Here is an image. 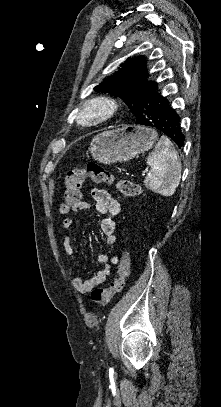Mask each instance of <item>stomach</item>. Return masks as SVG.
<instances>
[{
  "mask_svg": "<svg viewBox=\"0 0 221 407\" xmlns=\"http://www.w3.org/2000/svg\"><path fill=\"white\" fill-rule=\"evenodd\" d=\"M157 138L153 129L136 125L123 126L97 134L90 143L89 153L104 164L128 161L151 149Z\"/></svg>",
  "mask_w": 221,
  "mask_h": 407,
  "instance_id": "0dacf381",
  "label": "stomach"
}]
</instances>
